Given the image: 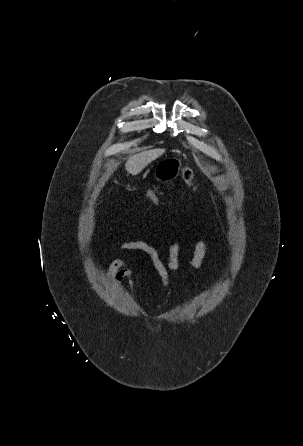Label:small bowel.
<instances>
[{
	"label": "small bowel",
	"mask_w": 303,
	"mask_h": 446,
	"mask_svg": "<svg viewBox=\"0 0 303 446\" xmlns=\"http://www.w3.org/2000/svg\"><path fill=\"white\" fill-rule=\"evenodd\" d=\"M118 247L122 250H138L146 254L161 280L163 289L166 292H169L171 287V274L180 272L177 260L179 252L181 250L180 243L174 242L171 244L168 252V260L166 263L162 261L157 251L144 241L121 242L119 243ZM207 247L208 243L206 240H199L195 244L190 270H195L200 266L206 254ZM106 278L112 285H118L121 282L126 281L128 283L131 295H134L135 286L132 277V271L128 267V264L124 259H116L112 261V263L108 267Z\"/></svg>",
	"instance_id": "1"
}]
</instances>
